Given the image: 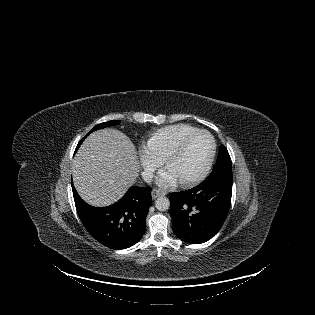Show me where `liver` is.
I'll use <instances>...</instances> for the list:
<instances>
[{
	"mask_svg": "<svg viewBox=\"0 0 315 315\" xmlns=\"http://www.w3.org/2000/svg\"><path fill=\"white\" fill-rule=\"evenodd\" d=\"M139 174L136 148L116 129L90 134L73 160V181L84 201L107 206L119 200Z\"/></svg>",
	"mask_w": 315,
	"mask_h": 315,
	"instance_id": "6515ba94",
	"label": "liver"
}]
</instances>
